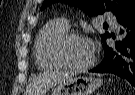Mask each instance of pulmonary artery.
Wrapping results in <instances>:
<instances>
[{
  "instance_id": "1",
  "label": "pulmonary artery",
  "mask_w": 135,
  "mask_h": 95,
  "mask_svg": "<svg viewBox=\"0 0 135 95\" xmlns=\"http://www.w3.org/2000/svg\"><path fill=\"white\" fill-rule=\"evenodd\" d=\"M114 26H117V23L116 22H111Z\"/></svg>"
}]
</instances>
